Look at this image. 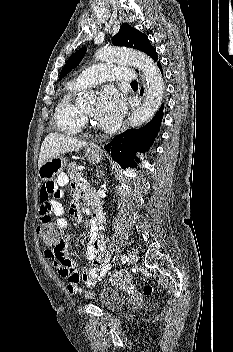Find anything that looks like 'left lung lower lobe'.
Returning a JSON list of instances; mask_svg holds the SVG:
<instances>
[{"mask_svg": "<svg viewBox=\"0 0 233 352\" xmlns=\"http://www.w3.org/2000/svg\"><path fill=\"white\" fill-rule=\"evenodd\" d=\"M162 71L160 62H157ZM143 89L141 90V95ZM163 117V105L154 118L144 127L128 129L115 136L104 148L111 153L112 158L117 161L122 168L137 166L139 159L135 156L136 151L145 152L150 148L153 140L157 136Z\"/></svg>", "mask_w": 233, "mask_h": 352, "instance_id": "obj_1", "label": "left lung lower lobe"}]
</instances>
